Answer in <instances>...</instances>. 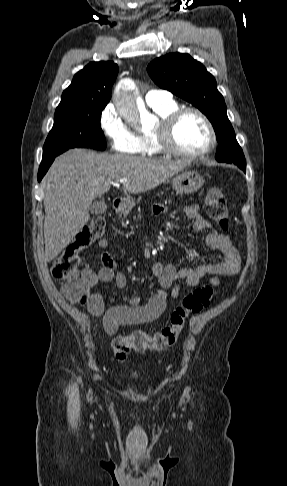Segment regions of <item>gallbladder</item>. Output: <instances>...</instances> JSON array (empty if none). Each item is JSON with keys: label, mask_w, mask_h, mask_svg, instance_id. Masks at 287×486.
Returning <instances> with one entry per match:
<instances>
[{"label": "gallbladder", "mask_w": 287, "mask_h": 486, "mask_svg": "<svg viewBox=\"0 0 287 486\" xmlns=\"http://www.w3.org/2000/svg\"><path fill=\"white\" fill-rule=\"evenodd\" d=\"M107 209V205L105 204L104 201H96L94 202L91 207H90V212L95 215H101L105 213Z\"/></svg>", "instance_id": "obj_1"}]
</instances>
